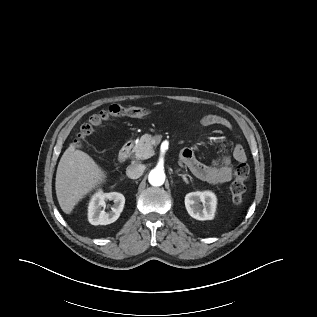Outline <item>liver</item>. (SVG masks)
Wrapping results in <instances>:
<instances>
[{
	"mask_svg": "<svg viewBox=\"0 0 317 317\" xmlns=\"http://www.w3.org/2000/svg\"><path fill=\"white\" fill-rule=\"evenodd\" d=\"M105 171L85 152L70 145L56 172L55 190L62 211L70 214L87 193L103 183Z\"/></svg>",
	"mask_w": 317,
	"mask_h": 317,
	"instance_id": "1",
	"label": "liver"
}]
</instances>
